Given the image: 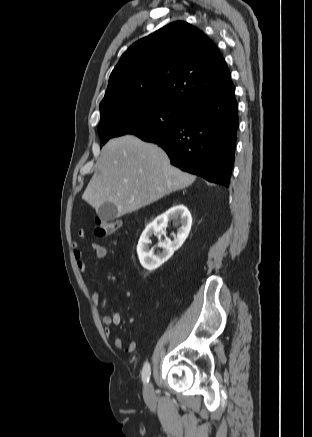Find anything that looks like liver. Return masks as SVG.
Returning <instances> with one entry per match:
<instances>
[{
  "label": "liver",
  "mask_w": 312,
  "mask_h": 437,
  "mask_svg": "<svg viewBox=\"0 0 312 437\" xmlns=\"http://www.w3.org/2000/svg\"><path fill=\"white\" fill-rule=\"evenodd\" d=\"M195 179L172 166L159 146L125 135L109 140L102 148L97 171L82 199L96 211L105 202L113 203L118 216H123L189 186Z\"/></svg>",
  "instance_id": "6515ba94"
}]
</instances>
